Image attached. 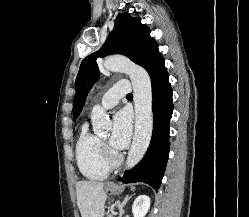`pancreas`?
I'll use <instances>...</instances> for the list:
<instances>
[{
	"label": "pancreas",
	"instance_id": "cf45deb5",
	"mask_svg": "<svg viewBox=\"0 0 249 217\" xmlns=\"http://www.w3.org/2000/svg\"><path fill=\"white\" fill-rule=\"evenodd\" d=\"M107 217H113L111 214H108V216Z\"/></svg>",
	"mask_w": 249,
	"mask_h": 217
}]
</instances>
